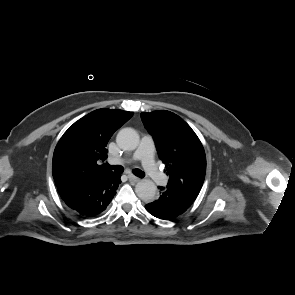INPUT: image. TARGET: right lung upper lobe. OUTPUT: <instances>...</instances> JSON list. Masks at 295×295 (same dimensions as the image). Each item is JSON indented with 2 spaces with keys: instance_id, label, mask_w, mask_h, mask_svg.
<instances>
[{
  "instance_id": "cb5924a9",
  "label": "right lung upper lobe",
  "mask_w": 295,
  "mask_h": 295,
  "mask_svg": "<svg viewBox=\"0 0 295 295\" xmlns=\"http://www.w3.org/2000/svg\"><path fill=\"white\" fill-rule=\"evenodd\" d=\"M133 116L118 109H97L75 122L61 137L53 155L52 173L57 188L76 187L113 173L104 165L107 143Z\"/></svg>"
}]
</instances>
